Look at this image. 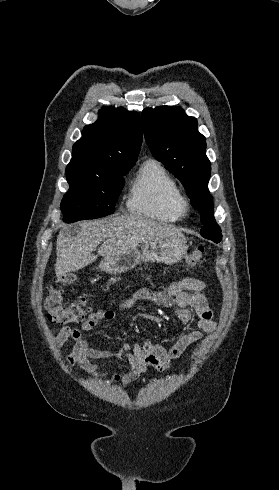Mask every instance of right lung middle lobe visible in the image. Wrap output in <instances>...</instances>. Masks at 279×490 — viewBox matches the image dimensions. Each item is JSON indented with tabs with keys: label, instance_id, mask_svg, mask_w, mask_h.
I'll return each instance as SVG.
<instances>
[{
	"label": "right lung middle lobe",
	"instance_id": "1",
	"mask_svg": "<svg viewBox=\"0 0 279 490\" xmlns=\"http://www.w3.org/2000/svg\"><path fill=\"white\" fill-rule=\"evenodd\" d=\"M133 165L112 169L104 174L66 172L70 186L61 202L66 223L95 219L114 213L125 175Z\"/></svg>",
	"mask_w": 279,
	"mask_h": 490
}]
</instances>
